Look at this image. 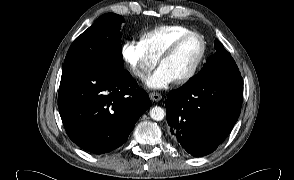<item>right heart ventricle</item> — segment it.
I'll use <instances>...</instances> for the list:
<instances>
[{
	"label": "right heart ventricle",
	"instance_id": "right-heart-ventricle-1",
	"mask_svg": "<svg viewBox=\"0 0 294 180\" xmlns=\"http://www.w3.org/2000/svg\"><path fill=\"white\" fill-rule=\"evenodd\" d=\"M190 31L188 27L183 25H161L142 31L139 34V39L144 49L150 55L159 59L161 54L177 37Z\"/></svg>",
	"mask_w": 294,
	"mask_h": 180
}]
</instances>
